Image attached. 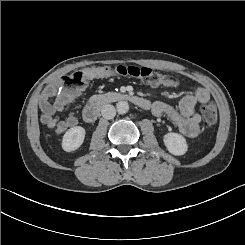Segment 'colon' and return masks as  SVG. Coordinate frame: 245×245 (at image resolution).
<instances>
[{
    "mask_svg": "<svg viewBox=\"0 0 245 245\" xmlns=\"http://www.w3.org/2000/svg\"><path fill=\"white\" fill-rule=\"evenodd\" d=\"M111 76L132 77L152 86H168L173 81L167 75L148 67L117 66L115 68L99 67L76 70L57 81L55 87L59 91L74 93L83 90L92 79ZM201 114L208 126L215 125L217 110L213 104H204L201 107Z\"/></svg>",
    "mask_w": 245,
    "mask_h": 245,
    "instance_id": "obj_1",
    "label": "colon"
}]
</instances>
